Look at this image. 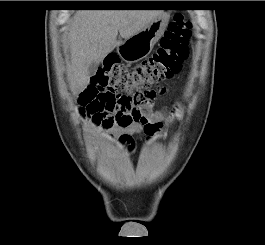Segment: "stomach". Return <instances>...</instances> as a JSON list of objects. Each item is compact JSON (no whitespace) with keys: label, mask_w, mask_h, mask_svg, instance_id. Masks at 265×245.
<instances>
[{"label":"stomach","mask_w":265,"mask_h":245,"mask_svg":"<svg viewBox=\"0 0 265 245\" xmlns=\"http://www.w3.org/2000/svg\"><path fill=\"white\" fill-rule=\"evenodd\" d=\"M169 18L170 15L163 12L138 33L121 42L117 46L120 58L127 63H135L146 58L164 34Z\"/></svg>","instance_id":"1"}]
</instances>
